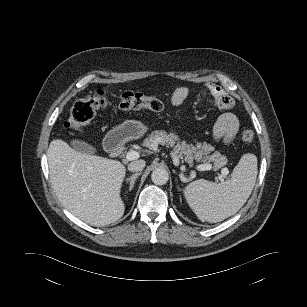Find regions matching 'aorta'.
Masks as SVG:
<instances>
[{
	"mask_svg": "<svg viewBox=\"0 0 307 307\" xmlns=\"http://www.w3.org/2000/svg\"><path fill=\"white\" fill-rule=\"evenodd\" d=\"M151 179L156 185H164L169 179L168 171L162 167L156 168L151 173Z\"/></svg>",
	"mask_w": 307,
	"mask_h": 307,
	"instance_id": "762f6f07",
	"label": "aorta"
}]
</instances>
